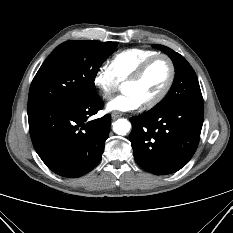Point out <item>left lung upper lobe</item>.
Here are the masks:
<instances>
[{"label": "left lung upper lobe", "mask_w": 233, "mask_h": 233, "mask_svg": "<svg viewBox=\"0 0 233 233\" xmlns=\"http://www.w3.org/2000/svg\"><path fill=\"white\" fill-rule=\"evenodd\" d=\"M154 46L166 53L173 61L175 78L165 98L150 111H158L178 104L203 105V98L197 76L187 60L182 55L166 46Z\"/></svg>", "instance_id": "left-lung-upper-lobe-1"}]
</instances>
